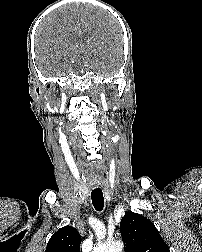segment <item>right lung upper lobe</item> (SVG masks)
<instances>
[{
  "label": "right lung upper lobe",
  "instance_id": "cb5924a9",
  "mask_svg": "<svg viewBox=\"0 0 202 252\" xmlns=\"http://www.w3.org/2000/svg\"><path fill=\"white\" fill-rule=\"evenodd\" d=\"M81 237L71 226L60 228L50 238L45 252H80Z\"/></svg>",
  "mask_w": 202,
  "mask_h": 252
}]
</instances>
